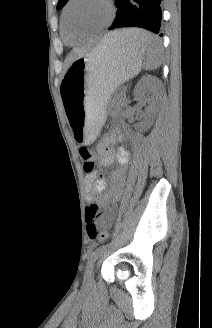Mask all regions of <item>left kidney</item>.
Instances as JSON below:
<instances>
[{"label":"left kidney","mask_w":212,"mask_h":328,"mask_svg":"<svg viewBox=\"0 0 212 328\" xmlns=\"http://www.w3.org/2000/svg\"><path fill=\"white\" fill-rule=\"evenodd\" d=\"M159 90H160L159 79L151 75H146L142 77L134 90L136 99L143 98L145 94H149L152 96L150 105L146 108V118L139 125L140 130H146L153 124L154 117L158 109L157 99H158Z\"/></svg>","instance_id":"5707ae66"}]
</instances>
